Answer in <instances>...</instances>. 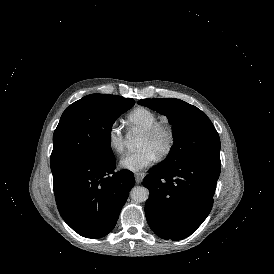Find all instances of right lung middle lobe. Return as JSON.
Here are the masks:
<instances>
[{
	"instance_id": "1",
	"label": "right lung middle lobe",
	"mask_w": 274,
	"mask_h": 274,
	"mask_svg": "<svg viewBox=\"0 0 274 274\" xmlns=\"http://www.w3.org/2000/svg\"><path fill=\"white\" fill-rule=\"evenodd\" d=\"M134 104L131 98L91 94L67 107L53 135L51 167L72 160L100 161L112 157V125Z\"/></svg>"
}]
</instances>
